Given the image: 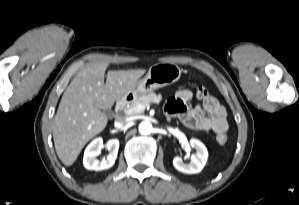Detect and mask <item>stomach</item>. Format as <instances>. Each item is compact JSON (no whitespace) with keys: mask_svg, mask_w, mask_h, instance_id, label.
<instances>
[{"mask_svg":"<svg viewBox=\"0 0 299 205\" xmlns=\"http://www.w3.org/2000/svg\"><path fill=\"white\" fill-rule=\"evenodd\" d=\"M182 70L175 64L157 63L152 65L146 76L138 80L134 88L126 95L128 100L153 92L161 87L178 81Z\"/></svg>","mask_w":299,"mask_h":205,"instance_id":"0dacf381","label":"stomach"}]
</instances>
